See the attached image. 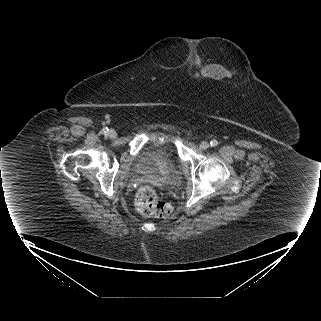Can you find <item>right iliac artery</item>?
<instances>
[{"label": "right iliac artery", "mask_w": 321, "mask_h": 321, "mask_svg": "<svg viewBox=\"0 0 321 321\" xmlns=\"http://www.w3.org/2000/svg\"><path fill=\"white\" fill-rule=\"evenodd\" d=\"M102 131H103L104 134H107V133H108V128H107V127H106V128H103Z\"/></svg>", "instance_id": "82829eb1"}]
</instances>
